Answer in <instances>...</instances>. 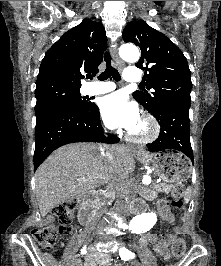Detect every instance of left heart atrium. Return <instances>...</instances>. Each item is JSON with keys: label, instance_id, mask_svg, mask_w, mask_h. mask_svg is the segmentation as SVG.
I'll list each match as a JSON object with an SVG mask.
<instances>
[{"label": "left heart atrium", "instance_id": "obj_1", "mask_svg": "<svg viewBox=\"0 0 221 266\" xmlns=\"http://www.w3.org/2000/svg\"><path fill=\"white\" fill-rule=\"evenodd\" d=\"M100 112L105 124L110 128H125L132 131L141 123L138 106L121 92L102 98Z\"/></svg>", "mask_w": 221, "mask_h": 266}]
</instances>
